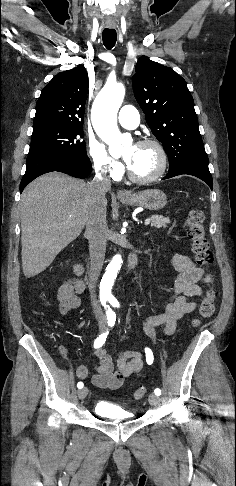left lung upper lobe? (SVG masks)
Segmentation results:
<instances>
[{"mask_svg":"<svg viewBox=\"0 0 236 486\" xmlns=\"http://www.w3.org/2000/svg\"><path fill=\"white\" fill-rule=\"evenodd\" d=\"M133 76L134 95L154 136L169 158V171L193 166L208 169L194 101L186 81L173 69L139 58Z\"/></svg>","mask_w":236,"mask_h":486,"instance_id":"left-lung-upper-lobe-1","label":"left lung upper lobe"}]
</instances>
